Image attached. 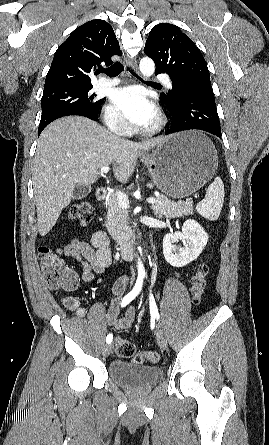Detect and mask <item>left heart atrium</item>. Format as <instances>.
I'll return each mask as SVG.
<instances>
[{
    "label": "left heart atrium",
    "mask_w": 269,
    "mask_h": 445,
    "mask_svg": "<svg viewBox=\"0 0 269 445\" xmlns=\"http://www.w3.org/2000/svg\"><path fill=\"white\" fill-rule=\"evenodd\" d=\"M112 100L122 115L136 127H148L156 118L157 111L154 104L139 88L117 89L112 95Z\"/></svg>",
    "instance_id": "left-heart-atrium-1"
}]
</instances>
